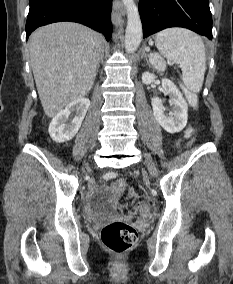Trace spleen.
<instances>
[{
	"mask_svg": "<svg viewBox=\"0 0 233 284\" xmlns=\"http://www.w3.org/2000/svg\"><path fill=\"white\" fill-rule=\"evenodd\" d=\"M155 45L163 57L181 67L182 79L187 89L198 93L206 71V54L202 39L187 29L169 28L156 34ZM155 59V54H150L152 64Z\"/></svg>",
	"mask_w": 233,
	"mask_h": 284,
	"instance_id": "obj_1",
	"label": "spleen"
}]
</instances>
